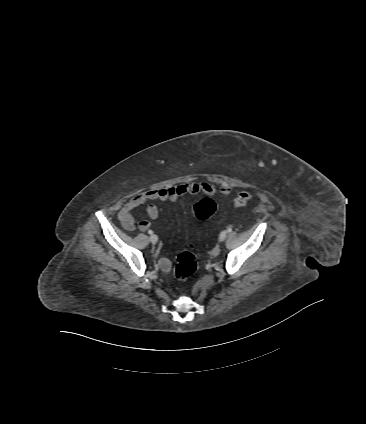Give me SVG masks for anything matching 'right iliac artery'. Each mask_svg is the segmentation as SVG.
Wrapping results in <instances>:
<instances>
[{
	"label": "right iliac artery",
	"instance_id": "82829eb1",
	"mask_svg": "<svg viewBox=\"0 0 366 424\" xmlns=\"http://www.w3.org/2000/svg\"><path fill=\"white\" fill-rule=\"evenodd\" d=\"M148 233H149L150 235H152V234H153V231H152V230H149V231H148Z\"/></svg>",
	"mask_w": 366,
	"mask_h": 424
}]
</instances>
